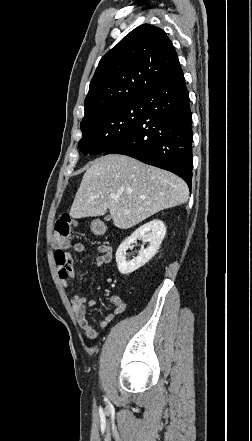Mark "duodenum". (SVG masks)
I'll return each mask as SVG.
<instances>
[{
  "label": "duodenum",
  "mask_w": 252,
  "mask_h": 441,
  "mask_svg": "<svg viewBox=\"0 0 252 441\" xmlns=\"http://www.w3.org/2000/svg\"><path fill=\"white\" fill-rule=\"evenodd\" d=\"M95 231L100 233V232L103 231V227L100 224H96L95 225Z\"/></svg>",
  "instance_id": "obj_1"
}]
</instances>
